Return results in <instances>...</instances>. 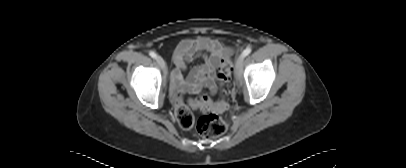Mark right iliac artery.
Here are the masks:
<instances>
[{
  "instance_id": "82829eb1",
  "label": "right iliac artery",
  "mask_w": 406,
  "mask_h": 168,
  "mask_svg": "<svg viewBox=\"0 0 406 168\" xmlns=\"http://www.w3.org/2000/svg\"><path fill=\"white\" fill-rule=\"evenodd\" d=\"M149 55H150L152 58H154V59H156V57H157L156 53L153 52V51H151V52L149 53Z\"/></svg>"
}]
</instances>
